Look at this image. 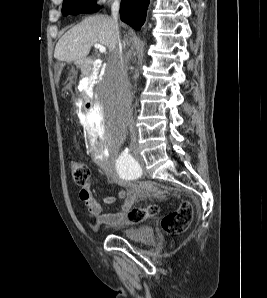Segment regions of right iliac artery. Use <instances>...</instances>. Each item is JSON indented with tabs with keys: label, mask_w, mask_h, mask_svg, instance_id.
I'll list each match as a JSON object with an SVG mask.
<instances>
[{
	"label": "right iliac artery",
	"mask_w": 267,
	"mask_h": 298,
	"mask_svg": "<svg viewBox=\"0 0 267 298\" xmlns=\"http://www.w3.org/2000/svg\"><path fill=\"white\" fill-rule=\"evenodd\" d=\"M120 161L123 162V163L124 162L125 163H129V164H135L136 163L135 160H134V158L132 157V155L130 153V150L128 148H126L122 152V154L120 156Z\"/></svg>",
	"instance_id": "obj_1"
}]
</instances>
